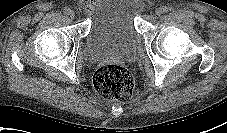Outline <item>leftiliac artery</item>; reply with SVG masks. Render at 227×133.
Segmentation results:
<instances>
[{
  "label": "left iliac artery",
  "instance_id": "1",
  "mask_svg": "<svg viewBox=\"0 0 227 133\" xmlns=\"http://www.w3.org/2000/svg\"><path fill=\"white\" fill-rule=\"evenodd\" d=\"M171 9L169 8V7H167V6H163V11L166 13V12H168V11H170Z\"/></svg>",
  "mask_w": 227,
  "mask_h": 133
}]
</instances>
